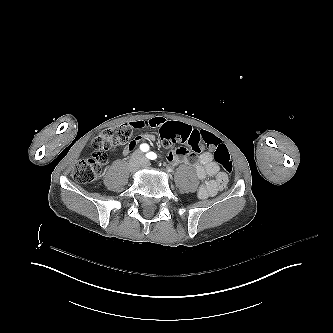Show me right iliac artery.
I'll return each mask as SVG.
<instances>
[{"instance_id": "1", "label": "right iliac artery", "mask_w": 333, "mask_h": 333, "mask_svg": "<svg viewBox=\"0 0 333 333\" xmlns=\"http://www.w3.org/2000/svg\"><path fill=\"white\" fill-rule=\"evenodd\" d=\"M140 149H141L143 152H146V151L149 150V146H148V144L144 143V144H141V145H140ZM147 156H148V154H147Z\"/></svg>"}]
</instances>
